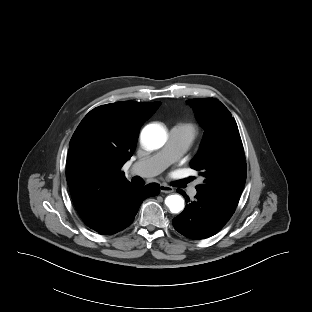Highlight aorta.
I'll return each mask as SVG.
<instances>
[{
    "instance_id": "obj_1",
    "label": "aorta",
    "mask_w": 312,
    "mask_h": 312,
    "mask_svg": "<svg viewBox=\"0 0 312 312\" xmlns=\"http://www.w3.org/2000/svg\"><path fill=\"white\" fill-rule=\"evenodd\" d=\"M141 140L149 149L162 147L167 140L166 130L155 124L146 126L141 133ZM165 204L172 213H179L184 209V200L180 195H170L165 199Z\"/></svg>"
}]
</instances>
